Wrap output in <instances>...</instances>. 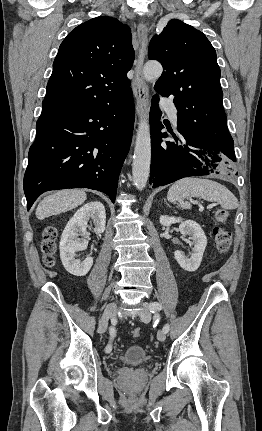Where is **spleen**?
I'll use <instances>...</instances> for the list:
<instances>
[{
	"mask_svg": "<svg viewBox=\"0 0 262 431\" xmlns=\"http://www.w3.org/2000/svg\"><path fill=\"white\" fill-rule=\"evenodd\" d=\"M201 197L210 202H218L225 209H236L238 200L224 185L209 179L186 177L176 181L168 190L167 199L178 202L182 209H190L186 198Z\"/></svg>",
	"mask_w": 262,
	"mask_h": 431,
	"instance_id": "3e777b00",
	"label": "spleen"
}]
</instances>
